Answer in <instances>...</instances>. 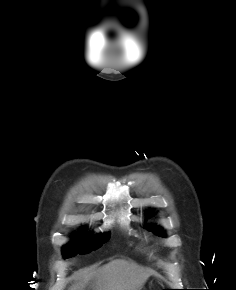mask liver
Wrapping results in <instances>:
<instances>
[{
  "label": "liver",
  "instance_id": "obj_1",
  "mask_svg": "<svg viewBox=\"0 0 236 290\" xmlns=\"http://www.w3.org/2000/svg\"><path fill=\"white\" fill-rule=\"evenodd\" d=\"M148 277L136 263L116 259L98 269L84 271L79 286L70 290L83 288L89 281H93V290H140Z\"/></svg>",
  "mask_w": 236,
  "mask_h": 290
}]
</instances>
